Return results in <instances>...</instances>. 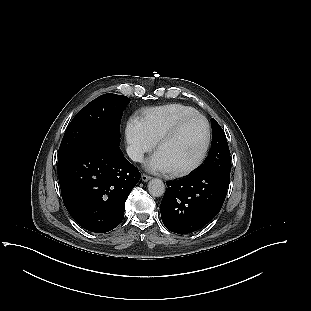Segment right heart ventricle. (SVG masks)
Segmentation results:
<instances>
[{
    "instance_id": "e07e8e85",
    "label": "right heart ventricle",
    "mask_w": 311,
    "mask_h": 311,
    "mask_svg": "<svg viewBox=\"0 0 311 311\" xmlns=\"http://www.w3.org/2000/svg\"><path fill=\"white\" fill-rule=\"evenodd\" d=\"M194 113L197 111L191 106L171 103L143 110L141 121L148 136L155 143L177 120Z\"/></svg>"
}]
</instances>
